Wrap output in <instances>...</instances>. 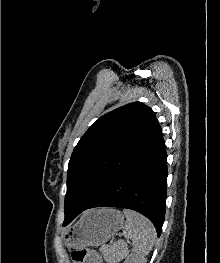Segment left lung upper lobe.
I'll list each match as a JSON object with an SVG mask.
<instances>
[{"label": "left lung upper lobe", "instance_id": "left-lung-upper-lobe-1", "mask_svg": "<svg viewBox=\"0 0 220 263\" xmlns=\"http://www.w3.org/2000/svg\"><path fill=\"white\" fill-rule=\"evenodd\" d=\"M160 132L154 112L141 102L100 117L69 161L65 214L85 210Z\"/></svg>", "mask_w": 220, "mask_h": 263}]
</instances>
